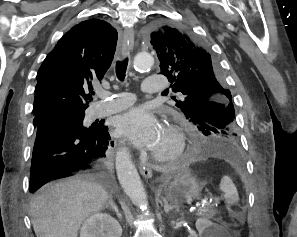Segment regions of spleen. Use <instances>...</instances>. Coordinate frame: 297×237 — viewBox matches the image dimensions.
Instances as JSON below:
<instances>
[{
	"label": "spleen",
	"instance_id": "obj_1",
	"mask_svg": "<svg viewBox=\"0 0 297 237\" xmlns=\"http://www.w3.org/2000/svg\"><path fill=\"white\" fill-rule=\"evenodd\" d=\"M219 189L224 193L227 203L233 204L238 202V192L230 177L223 176L219 185Z\"/></svg>",
	"mask_w": 297,
	"mask_h": 237
}]
</instances>
